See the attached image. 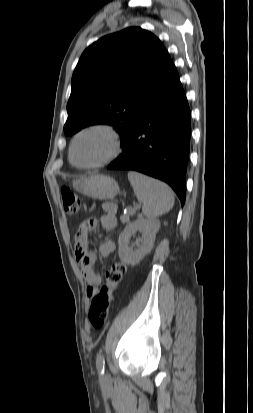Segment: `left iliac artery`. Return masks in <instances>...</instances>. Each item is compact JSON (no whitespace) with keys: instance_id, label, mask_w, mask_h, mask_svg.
I'll use <instances>...</instances> for the list:
<instances>
[{"instance_id":"44dca946","label":"left iliac artery","mask_w":253,"mask_h":413,"mask_svg":"<svg viewBox=\"0 0 253 413\" xmlns=\"http://www.w3.org/2000/svg\"><path fill=\"white\" fill-rule=\"evenodd\" d=\"M96 366L101 375L104 374L105 371V360L103 354H98L96 359Z\"/></svg>"}]
</instances>
